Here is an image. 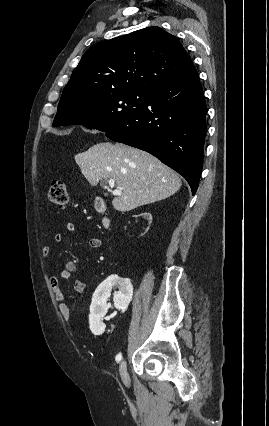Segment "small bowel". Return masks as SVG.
I'll use <instances>...</instances> for the list:
<instances>
[{
	"label": "small bowel",
	"instance_id": "c3829d8e",
	"mask_svg": "<svg viewBox=\"0 0 269 426\" xmlns=\"http://www.w3.org/2000/svg\"><path fill=\"white\" fill-rule=\"evenodd\" d=\"M66 230L68 232H74L75 231L74 223L68 222L66 224ZM62 240H63V235L61 233L55 234V236L53 237L52 243L42 248V254L44 256L50 255L53 246L55 244L62 242ZM88 245L89 247L93 249H98L101 247L102 241L97 237H90L88 239ZM75 271H76V264L73 261H67L64 264L63 268L58 272V274L52 275L49 279L50 287L54 293V296L57 299V301H59V312L66 321L70 320L71 311H70L69 305L64 302L62 283L70 279L71 275ZM84 285L85 284L83 281H77L75 284V290L78 292L82 291L84 288Z\"/></svg>",
	"mask_w": 269,
	"mask_h": 426
}]
</instances>
